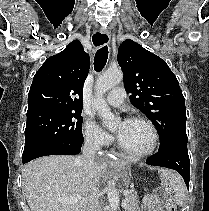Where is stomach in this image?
<instances>
[{
	"label": "stomach",
	"mask_w": 209,
	"mask_h": 211,
	"mask_svg": "<svg viewBox=\"0 0 209 211\" xmlns=\"http://www.w3.org/2000/svg\"><path fill=\"white\" fill-rule=\"evenodd\" d=\"M117 165L119 167V174L121 176L123 185L125 187H128L131 184V177L128 174L129 164L123 160V161H119Z\"/></svg>",
	"instance_id": "1"
}]
</instances>
